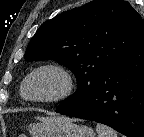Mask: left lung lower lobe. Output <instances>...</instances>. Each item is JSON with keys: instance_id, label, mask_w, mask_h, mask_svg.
I'll list each match as a JSON object with an SVG mask.
<instances>
[{"instance_id": "1", "label": "left lung lower lobe", "mask_w": 144, "mask_h": 137, "mask_svg": "<svg viewBox=\"0 0 144 137\" xmlns=\"http://www.w3.org/2000/svg\"><path fill=\"white\" fill-rule=\"evenodd\" d=\"M56 112L108 125L127 137H144V30L85 98L61 103Z\"/></svg>"}]
</instances>
